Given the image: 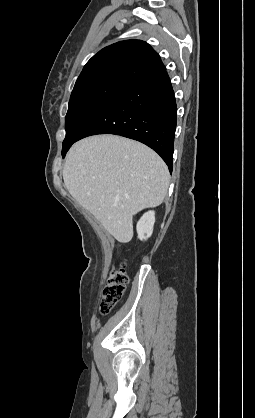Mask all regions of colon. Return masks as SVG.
<instances>
[{
	"label": "colon",
	"mask_w": 255,
	"mask_h": 418,
	"mask_svg": "<svg viewBox=\"0 0 255 418\" xmlns=\"http://www.w3.org/2000/svg\"><path fill=\"white\" fill-rule=\"evenodd\" d=\"M128 282V275L124 268L114 269L103 289L102 301L100 310L106 314L119 302L124 294L126 284Z\"/></svg>",
	"instance_id": "1"
}]
</instances>
